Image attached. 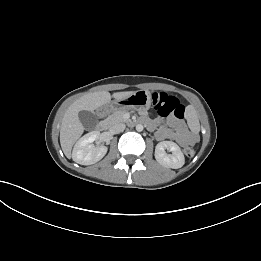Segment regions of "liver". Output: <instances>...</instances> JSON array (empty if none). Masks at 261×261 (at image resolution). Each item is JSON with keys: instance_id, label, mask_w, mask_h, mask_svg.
<instances>
[{"instance_id": "1", "label": "liver", "mask_w": 261, "mask_h": 261, "mask_svg": "<svg viewBox=\"0 0 261 261\" xmlns=\"http://www.w3.org/2000/svg\"><path fill=\"white\" fill-rule=\"evenodd\" d=\"M135 91L113 93L115 100L128 97ZM111 95L108 91L88 93L74 101L66 110L60 127V144L67 158L71 157V150L74 143L84 132V126L79 120V112L86 110L93 112L99 107L110 103Z\"/></svg>"}]
</instances>
